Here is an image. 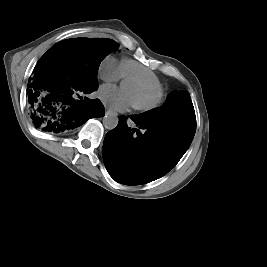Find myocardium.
Returning <instances> with one entry per match:
<instances>
[{"label":"myocardium","mask_w":267,"mask_h":267,"mask_svg":"<svg viewBox=\"0 0 267 267\" xmlns=\"http://www.w3.org/2000/svg\"><path fill=\"white\" fill-rule=\"evenodd\" d=\"M128 81L145 85L154 92V97L149 102L143 104L133 103V106L136 110L149 111L157 107L158 104L161 102L163 94L162 90L159 89L158 87L151 86L149 83L137 77L129 78Z\"/></svg>","instance_id":"1"}]
</instances>
